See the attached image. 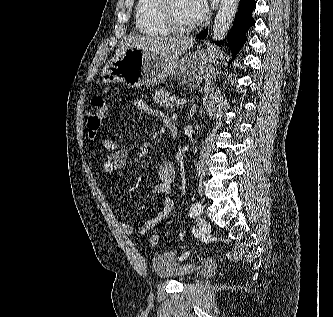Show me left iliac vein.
I'll return each mask as SVG.
<instances>
[{"mask_svg":"<svg viewBox=\"0 0 333 317\" xmlns=\"http://www.w3.org/2000/svg\"><path fill=\"white\" fill-rule=\"evenodd\" d=\"M196 224H197V227L199 228V230L203 233L209 231V229H210L209 223L203 217H200V216L197 217Z\"/></svg>","mask_w":333,"mask_h":317,"instance_id":"left-iliac-vein-1","label":"left iliac vein"}]
</instances>
